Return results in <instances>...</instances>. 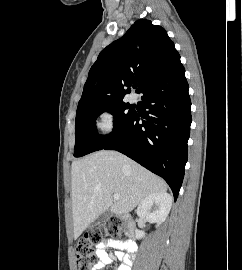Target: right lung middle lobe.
Instances as JSON below:
<instances>
[{"label": "right lung middle lobe", "instance_id": "right-lung-middle-lobe-1", "mask_svg": "<svg viewBox=\"0 0 242 270\" xmlns=\"http://www.w3.org/2000/svg\"><path fill=\"white\" fill-rule=\"evenodd\" d=\"M110 112L114 116V129L106 136L99 135L96 132V118L102 112ZM128 103L111 101L102 103L91 108L77 111L75 125V157H81L91 152L102 149L121 129L126 125L132 114Z\"/></svg>", "mask_w": 242, "mask_h": 270}]
</instances>
